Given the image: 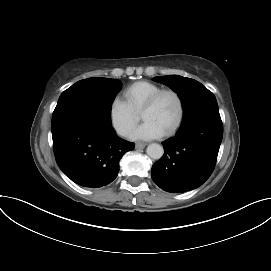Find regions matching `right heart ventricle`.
<instances>
[{
	"label": "right heart ventricle",
	"mask_w": 271,
	"mask_h": 271,
	"mask_svg": "<svg viewBox=\"0 0 271 271\" xmlns=\"http://www.w3.org/2000/svg\"><path fill=\"white\" fill-rule=\"evenodd\" d=\"M161 89L158 84L149 81H138L124 90L123 97L129 107L135 113H139L148 98Z\"/></svg>",
	"instance_id": "right-heart-ventricle-1"
}]
</instances>
